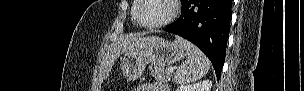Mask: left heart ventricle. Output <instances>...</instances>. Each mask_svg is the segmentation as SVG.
<instances>
[{
    "label": "left heart ventricle",
    "instance_id": "1",
    "mask_svg": "<svg viewBox=\"0 0 304 91\" xmlns=\"http://www.w3.org/2000/svg\"><path fill=\"white\" fill-rule=\"evenodd\" d=\"M170 12L171 6L166 0H143L138 15L142 23L154 24L166 18Z\"/></svg>",
    "mask_w": 304,
    "mask_h": 91
}]
</instances>
